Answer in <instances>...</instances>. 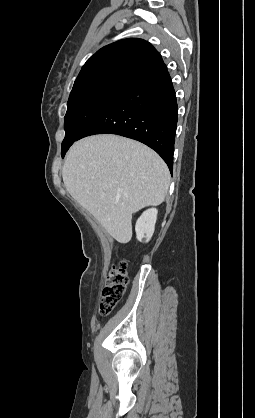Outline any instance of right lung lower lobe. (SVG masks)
I'll return each mask as SVG.
<instances>
[{
	"label": "right lung lower lobe",
	"instance_id": "right-lung-lower-lobe-1",
	"mask_svg": "<svg viewBox=\"0 0 255 418\" xmlns=\"http://www.w3.org/2000/svg\"><path fill=\"white\" fill-rule=\"evenodd\" d=\"M177 110L175 91L166 69L126 86L114 95L75 141L105 133L132 138L155 150L172 173ZM70 146L62 150V157Z\"/></svg>",
	"mask_w": 255,
	"mask_h": 418
}]
</instances>
